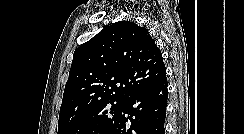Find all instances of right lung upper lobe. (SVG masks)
<instances>
[{"label": "right lung upper lobe", "mask_w": 244, "mask_h": 134, "mask_svg": "<svg viewBox=\"0 0 244 134\" xmlns=\"http://www.w3.org/2000/svg\"><path fill=\"white\" fill-rule=\"evenodd\" d=\"M165 76L148 30L131 21L114 23L75 50L59 120L107 100H126Z\"/></svg>", "instance_id": "right-lung-upper-lobe-1"}]
</instances>
